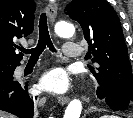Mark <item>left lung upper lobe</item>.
<instances>
[{
    "label": "left lung upper lobe",
    "instance_id": "obj_1",
    "mask_svg": "<svg viewBox=\"0 0 133 118\" xmlns=\"http://www.w3.org/2000/svg\"><path fill=\"white\" fill-rule=\"evenodd\" d=\"M77 21L97 64L92 73L98 80L97 96L120 92L133 102V75L118 16L105 0H72L65 8Z\"/></svg>",
    "mask_w": 133,
    "mask_h": 118
}]
</instances>
